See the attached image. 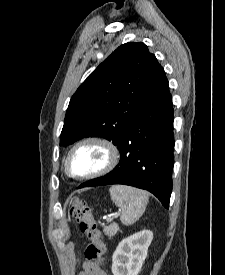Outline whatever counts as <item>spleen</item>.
<instances>
[{
    "mask_svg": "<svg viewBox=\"0 0 225 275\" xmlns=\"http://www.w3.org/2000/svg\"><path fill=\"white\" fill-rule=\"evenodd\" d=\"M111 200L121 210L120 220L125 226L134 224L145 212L148 194L140 189L114 185L109 189Z\"/></svg>",
    "mask_w": 225,
    "mask_h": 275,
    "instance_id": "spleen-1",
    "label": "spleen"
}]
</instances>
